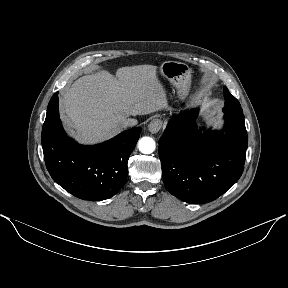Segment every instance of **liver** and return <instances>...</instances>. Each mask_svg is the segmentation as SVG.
Here are the masks:
<instances>
[{"label":"liver","mask_w":288,"mask_h":288,"mask_svg":"<svg viewBox=\"0 0 288 288\" xmlns=\"http://www.w3.org/2000/svg\"><path fill=\"white\" fill-rule=\"evenodd\" d=\"M68 118V131L79 142L93 144L123 130L130 116L168 108L157 67L119 68L114 77L106 70L77 79L60 98Z\"/></svg>","instance_id":"liver-1"}]
</instances>
